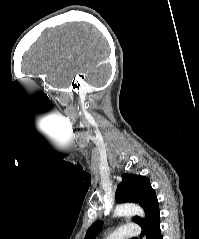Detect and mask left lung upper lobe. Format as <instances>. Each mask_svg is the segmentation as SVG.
<instances>
[{
	"label": "left lung upper lobe",
	"mask_w": 199,
	"mask_h": 239,
	"mask_svg": "<svg viewBox=\"0 0 199 239\" xmlns=\"http://www.w3.org/2000/svg\"><path fill=\"white\" fill-rule=\"evenodd\" d=\"M115 199L118 203L134 202L143 207L146 215L145 219L143 220L138 216L133 218V221L142 227L159 211L158 200L151 187L150 180L141 175L124 173L122 182L117 186ZM102 226V221L94 222L84 239H95Z\"/></svg>",
	"instance_id": "left-lung-upper-lobe-1"
}]
</instances>
